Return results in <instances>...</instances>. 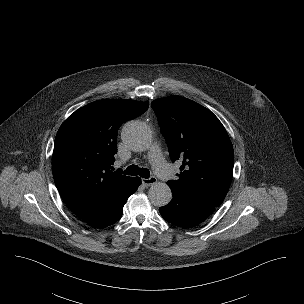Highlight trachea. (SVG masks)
I'll use <instances>...</instances> for the list:
<instances>
[{"label": "trachea", "instance_id": "3493384b", "mask_svg": "<svg viewBox=\"0 0 304 304\" xmlns=\"http://www.w3.org/2000/svg\"><path fill=\"white\" fill-rule=\"evenodd\" d=\"M126 175H139L142 178H149L150 172L147 168H139L137 165H130L124 171Z\"/></svg>", "mask_w": 304, "mask_h": 304}]
</instances>
